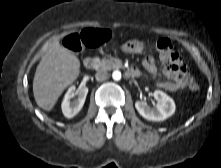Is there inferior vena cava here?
Listing matches in <instances>:
<instances>
[{"mask_svg":"<svg viewBox=\"0 0 221 168\" xmlns=\"http://www.w3.org/2000/svg\"><path fill=\"white\" fill-rule=\"evenodd\" d=\"M95 78L97 81H104L108 78V73L106 71H98L95 74Z\"/></svg>","mask_w":221,"mask_h":168,"instance_id":"1","label":"inferior vena cava"}]
</instances>
